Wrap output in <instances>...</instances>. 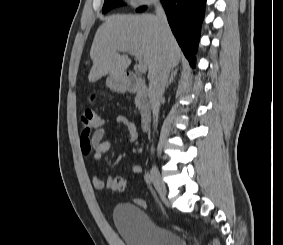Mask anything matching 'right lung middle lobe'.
<instances>
[{
	"label": "right lung middle lobe",
	"mask_w": 283,
	"mask_h": 245,
	"mask_svg": "<svg viewBox=\"0 0 283 245\" xmlns=\"http://www.w3.org/2000/svg\"><path fill=\"white\" fill-rule=\"evenodd\" d=\"M122 4L123 3H122L121 0H105L102 12L106 13L109 10H111L112 8H115V7L120 6Z\"/></svg>",
	"instance_id": "1"
}]
</instances>
